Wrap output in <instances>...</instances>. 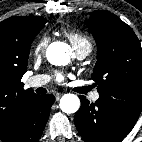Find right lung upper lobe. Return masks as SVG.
Here are the masks:
<instances>
[{
	"mask_svg": "<svg viewBox=\"0 0 142 142\" xmlns=\"http://www.w3.org/2000/svg\"><path fill=\"white\" fill-rule=\"evenodd\" d=\"M46 19L15 16L0 23V138L12 132L29 101L36 96L21 82L27 70L28 44Z\"/></svg>",
	"mask_w": 142,
	"mask_h": 142,
	"instance_id": "right-lung-upper-lobe-1",
	"label": "right lung upper lobe"
}]
</instances>
